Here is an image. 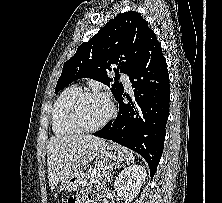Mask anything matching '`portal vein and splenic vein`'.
Returning a JSON list of instances; mask_svg holds the SVG:
<instances>
[{"label": "portal vein and splenic vein", "instance_id": "1", "mask_svg": "<svg viewBox=\"0 0 222 203\" xmlns=\"http://www.w3.org/2000/svg\"><path fill=\"white\" fill-rule=\"evenodd\" d=\"M113 166V164H109V166L108 167H105V169H107V168H109V167H112Z\"/></svg>", "mask_w": 222, "mask_h": 203}]
</instances>
